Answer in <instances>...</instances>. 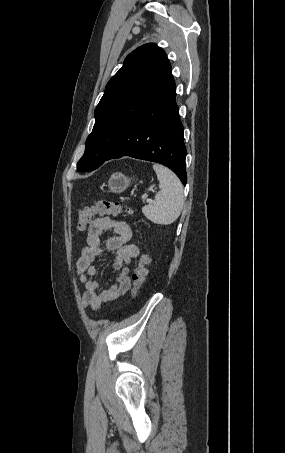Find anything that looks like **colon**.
I'll use <instances>...</instances> for the list:
<instances>
[{
	"label": "colon",
	"mask_w": 285,
	"mask_h": 453,
	"mask_svg": "<svg viewBox=\"0 0 285 453\" xmlns=\"http://www.w3.org/2000/svg\"><path fill=\"white\" fill-rule=\"evenodd\" d=\"M130 215V208H123L120 203L109 200L98 201L94 206L85 207L78 213L77 228L80 232L86 230L91 220L95 215H118L120 213ZM149 257L145 254L141 255L136 261V267L132 275L131 297H135L146 281L148 274Z\"/></svg>",
	"instance_id": "obj_1"
}]
</instances>
